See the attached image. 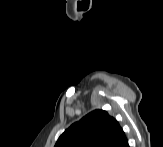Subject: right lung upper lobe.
Listing matches in <instances>:
<instances>
[{"mask_svg": "<svg viewBox=\"0 0 163 147\" xmlns=\"http://www.w3.org/2000/svg\"><path fill=\"white\" fill-rule=\"evenodd\" d=\"M124 136L118 121L98 109L66 129L55 147H114Z\"/></svg>", "mask_w": 163, "mask_h": 147, "instance_id": "right-lung-upper-lobe-1", "label": "right lung upper lobe"}]
</instances>
